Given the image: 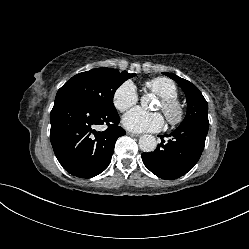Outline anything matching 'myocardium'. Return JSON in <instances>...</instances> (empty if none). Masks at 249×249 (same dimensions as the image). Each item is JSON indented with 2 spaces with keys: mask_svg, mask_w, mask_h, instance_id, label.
<instances>
[{
  "mask_svg": "<svg viewBox=\"0 0 249 249\" xmlns=\"http://www.w3.org/2000/svg\"><path fill=\"white\" fill-rule=\"evenodd\" d=\"M161 111L167 122L172 126H177L184 120L185 109L177 99L161 98Z\"/></svg>",
  "mask_w": 249,
  "mask_h": 249,
  "instance_id": "f54148a6",
  "label": "myocardium"
}]
</instances>
